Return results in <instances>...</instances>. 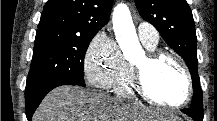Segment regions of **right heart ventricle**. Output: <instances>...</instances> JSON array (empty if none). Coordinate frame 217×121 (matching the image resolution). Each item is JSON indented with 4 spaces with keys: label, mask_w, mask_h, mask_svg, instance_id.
Instances as JSON below:
<instances>
[{
    "label": "right heart ventricle",
    "mask_w": 217,
    "mask_h": 121,
    "mask_svg": "<svg viewBox=\"0 0 217 121\" xmlns=\"http://www.w3.org/2000/svg\"><path fill=\"white\" fill-rule=\"evenodd\" d=\"M144 45L149 51H155L157 49V45H148L146 43ZM111 87L118 96L130 97L136 95L131 65L125 62L122 74Z\"/></svg>",
    "instance_id": "e07e8e85"
}]
</instances>
